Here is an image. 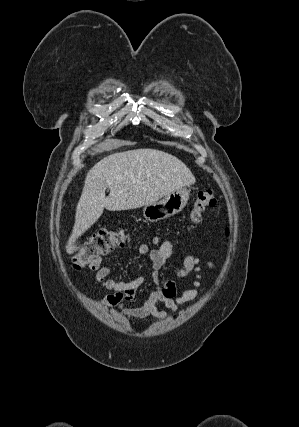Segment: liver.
I'll list each match as a JSON object with an SVG mask.
<instances>
[{
	"instance_id": "6515ba94",
	"label": "liver",
	"mask_w": 299,
	"mask_h": 427,
	"mask_svg": "<svg viewBox=\"0 0 299 427\" xmlns=\"http://www.w3.org/2000/svg\"><path fill=\"white\" fill-rule=\"evenodd\" d=\"M195 181L181 160L164 151L142 148L103 158L86 175L66 252L77 251L76 240L100 218L104 208L110 211L140 208ZM107 188L110 193L106 197Z\"/></svg>"
}]
</instances>
